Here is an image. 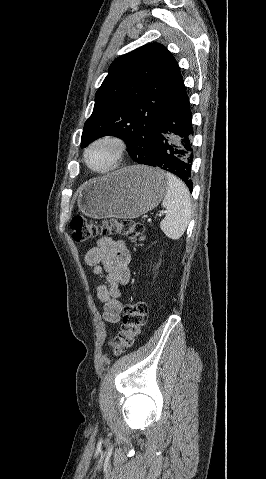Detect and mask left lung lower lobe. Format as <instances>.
<instances>
[{"instance_id": "0a47b994", "label": "left lung lower lobe", "mask_w": 266, "mask_h": 479, "mask_svg": "<svg viewBox=\"0 0 266 479\" xmlns=\"http://www.w3.org/2000/svg\"><path fill=\"white\" fill-rule=\"evenodd\" d=\"M189 105L183 83L159 122L150 157L144 164L175 174L192 192L193 128Z\"/></svg>"}]
</instances>
